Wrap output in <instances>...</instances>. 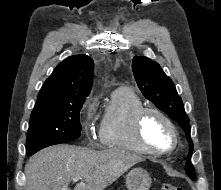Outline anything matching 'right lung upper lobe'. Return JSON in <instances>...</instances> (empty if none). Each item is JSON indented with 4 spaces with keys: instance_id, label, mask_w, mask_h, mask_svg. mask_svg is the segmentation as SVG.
Listing matches in <instances>:
<instances>
[{
    "instance_id": "right-lung-upper-lobe-1",
    "label": "right lung upper lobe",
    "mask_w": 221,
    "mask_h": 190,
    "mask_svg": "<svg viewBox=\"0 0 221 190\" xmlns=\"http://www.w3.org/2000/svg\"><path fill=\"white\" fill-rule=\"evenodd\" d=\"M93 74L91 57L81 54L66 58L43 84L35 106L74 104L86 100L92 88Z\"/></svg>"
}]
</instances>
